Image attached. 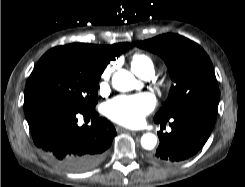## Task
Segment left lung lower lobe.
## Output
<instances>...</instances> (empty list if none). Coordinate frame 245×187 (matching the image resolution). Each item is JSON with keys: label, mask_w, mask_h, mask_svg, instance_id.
Returning <instances> with one entry per match:
<instances>
[{"label": "left lung lower lobe", "mask_w": 245, "mask_h": 187, "mask_svg": "<svg viewBox=\"0 0 245 187\" xmlns=\"http://www.w3.org/2000/svg\"><path fill=\"white\" fill-rule=\"evenodd\" d=\"M217 108H200L173 116L168 120L154 119L161 127L169 122L171 133L158 132L160 145L151 160L171 165L196 154L209 138L215 125Z\"/></svg>", "instance_id": "obj_1"}]
</instances>
